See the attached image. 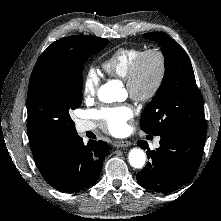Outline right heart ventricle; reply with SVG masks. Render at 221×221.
Returning a JSON list of instances; mask_svg holds the SVG:
<instances>
[{"instance_id":"obj_1","label":"right heart ventricle","mask_w":221,"mask_h":221,"mask_svg":"<svg viewBox=\"0 0 221 221\" xmlns=\"http://www.w3.org/2000/svg\"><path fill=\"white\" fill-rule=\"evenodd\" d=\"M143 52L139 47H122L112 52L102 63L105 72L125 80L136 59Z\"/></svg>"}]
</instances>
